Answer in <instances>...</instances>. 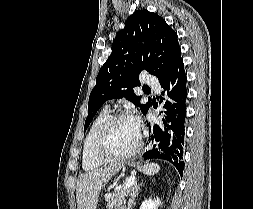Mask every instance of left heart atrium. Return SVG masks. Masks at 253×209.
Listing matches in <instances>:
<instances>
[{
  "label": "left heart atrium",
  "mask_w": 253,
  "mask_h": 209,
  "mask_svg": "<svg viewBox=\"0 0 253 209\" xmlns=\"http://www.w3.org/2000/svg\"><path fill=\"white\" fill-rule=\"evenodd\" d=\"M130 119H131L133 125L135 126V128L139 131L140 130V120H139V118L136 115H134V116H131Z\"/></svg>",
  "instance_id": "1"
}]
</instances>
